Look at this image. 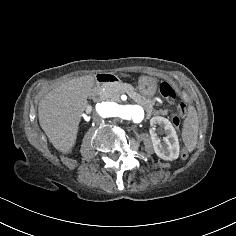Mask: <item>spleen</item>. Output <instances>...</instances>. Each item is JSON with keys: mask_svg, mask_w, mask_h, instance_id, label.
<instances>
[{"mask_svg": "<svg viewBox=\"0 0 236 236\" xmlns=\"http://www.w3.org/2000/svg\"><path fill=\"white\" fill-rule=\"evenodd\" d=\"M199 120L197 111L193 106L188 108V117L184 122L182 138L188 152H192L198 142Z\"/></svg>", "mask_w": 236, "mask_h": 236, "instance_id": "1", "label": "spleen"}]
</instances>
